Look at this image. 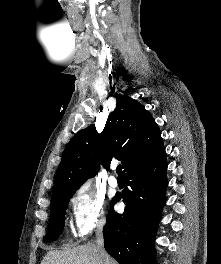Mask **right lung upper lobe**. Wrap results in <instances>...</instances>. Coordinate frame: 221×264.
Returning <instances> with one entry per match:
<instances>
[{"mask_svg":"<svg viewBox=\"0 0 221 264\" xmlns=\"http://www.w3.org/2000/svg\"><path fill=\"white\" fill-rule=\"evenodd\" d=\"M165 152L161 133L145 107L127 95L117 97L101 134L95 125L80 130L66 146L58 167L52 200L75 193L103 164L121 160L124 173L149 164Z\"/></svg>","mask_w":221,"mask_h":264,"instance_id":"cb5924a9","label":"right lung upper lobe"}]
</instances>
